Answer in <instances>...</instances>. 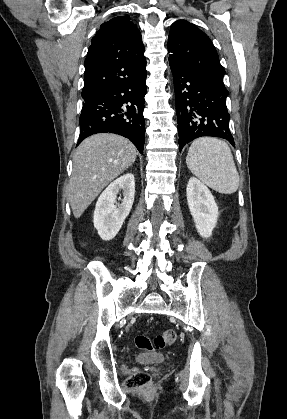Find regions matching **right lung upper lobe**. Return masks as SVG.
I'll return each instance as SVG.
<instances>
[{
  "instance_id": "cb5924a9",
  "label": "right lung upper lobe",
  "mask_w": 287,
  "mask_h": 419,
  "mask_svg": "<svg viewBox=\"0 0 287 419\" xmlns=\"http://www.w3.org/2000/svg\"><path fill=\"white\" fill-rule=\"evenodd\" d=\"M84 102L146 72L142 36L129 16L103 23L84 63Z\"/></svg>"
}]
</instances>
